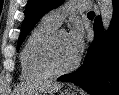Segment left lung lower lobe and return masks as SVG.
Segmentation results:
<instances>
[{
  "label": "left lung lower lobe",
  "mask_w": 119,
  "mask_h": 95,
  "mask_svg": "<svg viewBox=\"0 0 119 95\" xmlns=\"http://www.w3.org/2000/svg\"><path fill=\"white\" fill-rule=\"evenodd\" d=\"M57 80L73 82L91 95H119V0H113V17L107 33L101 18H95L94 40L83 65Z\"/></svg>",
  "instance_id": "1"
}]
</instances>
